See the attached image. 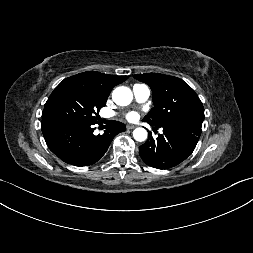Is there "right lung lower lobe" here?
Returning a JSON list of instances; mask_svg holds the SVG:
<instances>
[{
    "instance_id": "98d812e1",
    "label": "right lung lower lobe",
    "mask_w": 253,
    "mask_h": 253,
    "mask_svg": "<svg viewBox=\"0 0 253 253\" xmlns=\"http://www.w3.org/2000/svg\"><path fill=\"white\" fill-rule=\"evenodd\" d=\"M96 123H53L41 125V129L48 148L57 157L74 166H88L99 161L113 138L126 130L123 123L110 121L103 134L94 135Z\"/></svg>"
}]
</instances>
